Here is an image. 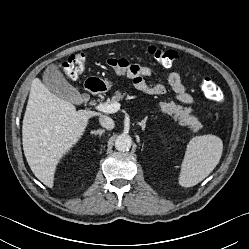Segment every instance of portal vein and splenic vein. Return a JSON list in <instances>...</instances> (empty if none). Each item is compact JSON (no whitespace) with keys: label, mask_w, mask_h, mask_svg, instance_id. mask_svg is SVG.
<instances>
[{"label":"portal vein and splenic vein","mask_w":249,"mask_h":249,"mask_svg":"<svg viewBox=\"0 0 249 249\" xmlns=\"http://www.w3.org/2000/svg\"><path fill=\"white\" fill-rule=\"evenodd\" d=\"M121 107L119 102H114L112 104H99L96 106L97 110L104 112V113H115Z\"/></svg>","instance_id":"18ae733b"}]
</instances>
